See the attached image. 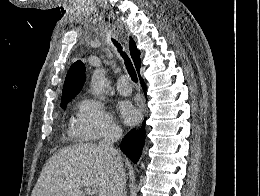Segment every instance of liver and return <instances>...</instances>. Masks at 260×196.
Wrapping results in <instances>:
<instances>
[{"mask_svg":"<svg viewBox=\"0 0 260 196\" xmlns=\"http://www.w3.org/2000/svg\"><path fill=\"white\" fill-rule=\"evenodd\" d=\"M113 160L93 142L63 148L45 164L31 196H85L82 188L109 196L117 172Z\"/></svg>","mask_w":260,"mask_h":196,"instance_id":"6515ba94","label":"liver"}]
</instances>
